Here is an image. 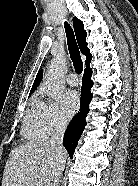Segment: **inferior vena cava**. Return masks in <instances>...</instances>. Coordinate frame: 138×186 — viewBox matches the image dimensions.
Returning <instances> with one entry per match:
<instances>
[{
    "instance_id": "602c4592",
    "label": "inferior vena cava",
    "mask_w": 138,
    "mask_h": 186,
    "mask_svg": "<svg viewBox=\"0 0 138 186\" xmlns=\"http://www.w3.org/2000/svg\"><path fill=\"white\" fill-rule=\"evenodd\" d=\"M67 127L66 121H60L55 127V132L48 144L54 147L59 153L64 150L63 148V136ZM65 167V158L60 154L54 161L51 171L48 175L46 186H58L62 172Z\"/></svg>"
}]
</instances>
